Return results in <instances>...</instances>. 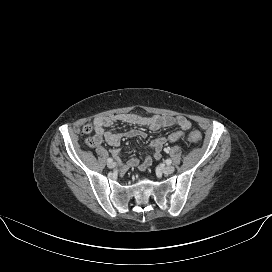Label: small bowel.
I'll return each instance as SVG.
<instances>
[{"instance_id": "1", "label": "small bowel", "mask_w": 272, "mask_h": 272, "mask_svg": "<svg viewBox=\"0 0 272 272\" xmlns=\"http://www.w3.org/2000/svg\"><path fill=\"white\" fill-rule=\"evenodd\" d=\"M116 122H123L127 124H134L145 126L152 131H157L163 127H169L177 125L179 130L171 133L168 136L158 137L152 141L151 147L153 149V156H146L143 161H139L136 158L128 160L123 168L137 167L144 171L155 160L161 158V152L163 146L168 142H176L180 140L186 132L191 128L190 121L184 116H170V115H153V116H141L137 114H116L111 116L99 117L94 120V142L95 145L101 144L105 141L107 144L118 147L122 138L124 137H140L146 136L145 132L140 129H130L125 132L114 133L106 131L105 128L112 126ZM113 155L117 156L118 151H113Z\"/></svg>"}]
</instances>
